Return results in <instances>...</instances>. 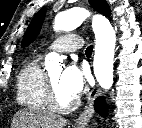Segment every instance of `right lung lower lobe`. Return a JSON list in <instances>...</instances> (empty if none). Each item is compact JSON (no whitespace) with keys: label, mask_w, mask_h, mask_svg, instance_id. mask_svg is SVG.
<instances>
[{"label":"right lung lower lobe","mask_w":142,"mask_h":128,"mask_svg":"<svg viewBox=\"0 0 142 128\" xmlns=\"http://www.w3.org/2000/svg\"><path fill=\"white\" fill-rule=\"evenodd\" d=\"M95 110L102 116H106L107 113V106L105 101L102 98H98L95 101Z\"/></svg>","instance_id":"1"}]
</instances>
